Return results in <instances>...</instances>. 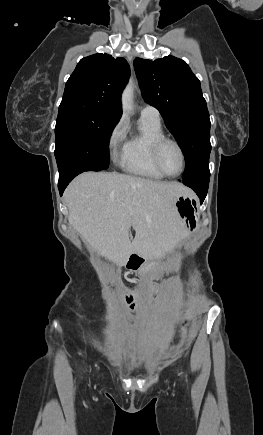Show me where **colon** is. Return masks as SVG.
<instances>
[{
	"mask_svg": "<svg viewBox=\"0 0 263 435\" xmlns=\"http://www.w3.org/2000/svg\"><path fill=\"white\" fill-rule=\"evenodd\" d=\"M153 287H150L149 289H148V293H150V292H152L153 291ZM135 295H129L128 297H127V301H128V303L129 302H132V303H134V299H135Z\"/></svg>",
	"mask_w": 263,
	"mask_h": 435,
	"instance_id": "obj_1",
	"label": "colon"
}]
</instances>
